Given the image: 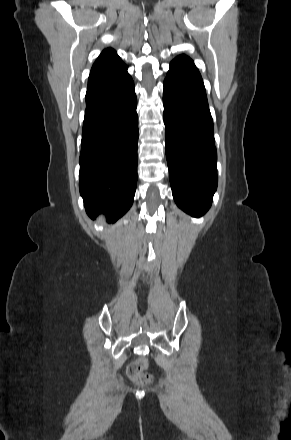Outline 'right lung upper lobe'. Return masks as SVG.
I'll use <instances>...</instances> for the list:
<instances>
[{
	"label": "right lung upper lobe",
	"instance_id": "1",
	"mask_svg": "<svg viewBox=\"0 0 291 440\" xmlns=\"http://www.w3.org/2000/svg\"><path fill=\"white\" fill-rule=\"evenodd\" d=\"M125 66L124 62L112 48L103 50L92 66L90 74H97L117 70Z\"/></svg>",
	"mask_w": 291,
	"mask_h": 440
}]
</instances>
